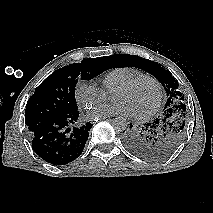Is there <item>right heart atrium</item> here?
Instances as JSON below:
<instances>
[{
  "label": "right heart atrium",
  "mask_w": 213,
  "mask_h": 213,
  "mask_svg": "<svg viewBox=\"0 0 213 213\" xmlns=\"http://www.w3.org/2000/svg\"><path fill=\"white\" fill-rule=\"evenodd\" d=\"M75 99L80 107L88 109L103 102L106 99V92L92 80L80 81L75 87Z\"/></svg>",
  "instance_id": "right-heart-atrium-1"
}]
</instances>
